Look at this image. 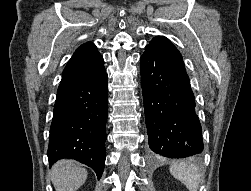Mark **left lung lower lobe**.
I'll return each mask as SVG.
<instances>
[{"mask_svg":"<svg viewBox=\"0 0 251 191\" xmlns=\"http://www.w3.org/2000/svg\"><path fill=\"white\" fill-rule=\"evenodd\" d=\"M140 65L151 154L168 158L200 154L202 129L185 68L147 50L140 58Z\"/></svg>","mask_w":251,"mask_h":191,"instance_id":"0a47b994","label":"left lung lower lobe"}]
</instances>
